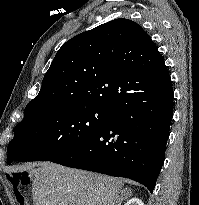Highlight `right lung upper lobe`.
Masks as SVG:
<instances>
[{"instance_id":"right-lung-upper-lobe-1","label":"right lung upper lobe","mask_w":199,"mask_h":205,"mask_svg":"<svg viewBox=\"0 0 199 205\" xmlns=\"http://www.w3.org/2000/svg\"><path fill=\"white\" fill-rule=\"evenodd\" d=\"M165 73L164 59L142 27L115 19L64 43L26 108L72 103L111 110L154 89Z\"/></svg>"}]
</instances>
